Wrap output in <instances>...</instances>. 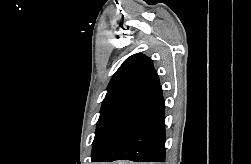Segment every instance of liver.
Masks as SVG:
<instances>
[{
    "label": "liver",
    "mask_w": 251,
    "mask_h": 164,
    "mask_svg": "<svg viewBox=\"0 0 251 164\" xmlns=\"http://www.w3.org/2000/svg\"><path fill=\"white\" fill-rule=\"evenodd\" d=\"M111 164H132V163H129V162H116V163H111Z\"/></svg>",
    "instance_id": "1"
}]
</instances>
